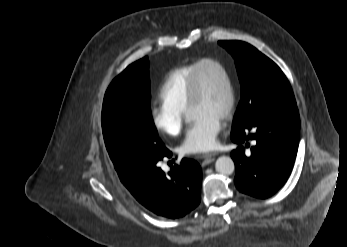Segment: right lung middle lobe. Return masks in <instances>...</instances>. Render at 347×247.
<instances>
[{
	"label": "right lung middle lobe",
	"mask_w": 347,
	"mask_h": 247,
	"mask_svg": "<svg viewBox=\"0 0 347 247\" xmlns=\"http://www.w3.org/2000/svg\"><path fill=\"white\" fill-rule=\"evenodd\" d=\"M102 130L115 168L139 156L157 157L165 152L150 111L148 57L129 65L108 87Z\"/></svg>",
	"instance_id": "1"
}]
</instances>
